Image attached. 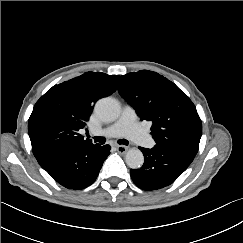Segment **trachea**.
<instances>
[{
	"label": "trachea",
	"mask_w": 243,
	"mask_h": 243,
	"mask_svg": "<svg viewBox=\"0 0 243 243\" xmlns=\"http://www.w3.org/2000/svg\"><path fill=\"white\" fill-rule=\"evenodd\" d=\"M95 142L104 144L106 142V139L104 137H100V136H95L94 137ZM118 144H122V145H128L129 142L126 139H120L117 141Z\"/></svg>",
	"instance_id": "3493384b"
}]
</instances>
